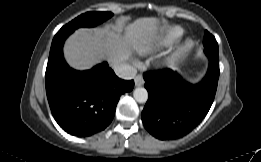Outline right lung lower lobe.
<instances>
[{
	"instance_id": "98d812e1",
	"label": "right lung lower lobe",
	"mask_w": 261,
	"mask_h": 162,
	"mask_svg": "<svg viewBox=\"0 0 261 162\" xmlns=\"http://www.w3.org/2000/svg\"><path fill=\"white\" fill-rule=\"evenodd\" d=\"M71 33H57L52 41L45 74L48 102L53 117L67 133L88 137L112 121L119 98L130 92L134 81L118 78L106 62L87 71L70 68L63 44Z\"/></svg>"
}]
</instances>
